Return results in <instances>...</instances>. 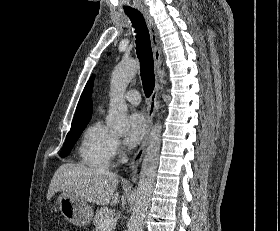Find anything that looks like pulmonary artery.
Segmentation results:
<instances>
[{
  "mask_svg": "<svg viewBox=\"0 0 280 231\" xmlns=\"http://www.w3.org/2000/svg\"><path fill=\"white\" fill-rule=\"evenodd\" d=\"M124 99L133 105L140 102V93L137 90H130L124 95Z\"/></svg>",
  "mask_w": 280,
  "mask_h": 231,
  "instance_id": "e3ab8cb5",
  "label": "pulmonary artery"
}]
</instances>
